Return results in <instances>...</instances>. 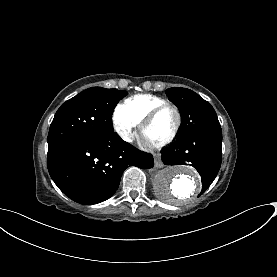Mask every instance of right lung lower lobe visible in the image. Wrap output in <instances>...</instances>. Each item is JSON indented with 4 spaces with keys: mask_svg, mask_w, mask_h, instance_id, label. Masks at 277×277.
Segmentation results:
<instances>
[{
    "mask_svg": "<svg viewBox=\"0 0 277 277\" xmlns=\"http://www.w3.org/2000/svg\"><path fill=\"white\" fill-rule=\"evenodd\" d=\"M153 157L117 133L64 141L48 147V171L58 188L81 204H96L118 189L129 166L152 168Z\"/></svg>",
    "mask_w": 277,
    "mask_h": 277,
    "instance_id": "1",
    "label": "right lung lower lobe"
}]
</instances>
